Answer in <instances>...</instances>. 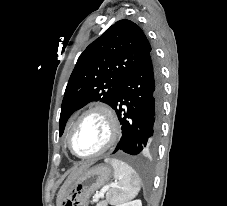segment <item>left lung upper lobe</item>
<instances>
[{
  "label": "left lung upper lobe",
  "mask_w": 227,
  "mask_h": 206,
  "mask_svg": "<svg viewBox=\"0 0 227 206\" xmlns=\"http://www.w3.org/2000/svg\"><path fill=\"white\" fill-rule=\"evenodd\" d=\"M152 54L141 28L130 20L109 27L79 56L62 102L59 135L70 115L91 101L111 107L126 77Z\"/></svg>",
  "instance_id": "1"
}]
</instances>
